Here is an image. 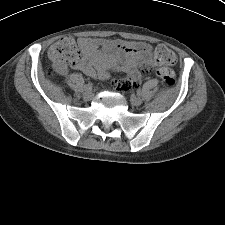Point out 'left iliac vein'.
Instances as JSON below:
<instances>
[{"mask_svg": "<svg viewBox=\"0 0 225 225\" xmlns=\"http://www.w3.org/2000/svg\"><path fill=\"white\" fill-rule=\"evenodd\" d=\"M132 104L135 105V106L140 105L141 99L137 98V97L132 98Z\"/></svg>", "mask_w": 225, "mask_h": 225, "instance_id": "left-iliac-vein-1", "label": "left iliac vein"}]
</instances>
